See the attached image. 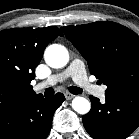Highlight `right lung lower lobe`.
Instances as JSON below:
<instances>
[{"label": "right lung lower lobe", "mask_w": 139, "mask_h": 139, "mask_svg": "<svg viewBox=\"0 0 139 139\" xmlns=\"http://www.w3.org/2000/svg\"><path fill=\"white\" fill-rule=\"evenodd\" d=\"M65 97L42 95L0 110V139H46L56 109Z\"/></svg>", "instance_id": "1"}]
</instances>
